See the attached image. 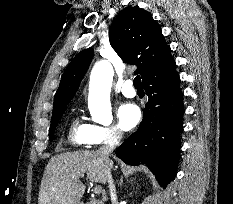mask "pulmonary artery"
I'll return each instance as SVG.
<instances>
[{
    "instance_id": "e3ab8cb5",
    "label": "pulmonary artery",
    "mask_w": 233,
    "mask_h": 204,
    "mask_svg": "<svg viewBox=\"0 0 233 204\" xmlns=\"http://www.w3.org/2000/svg\"><path fill=\"white\" fill-rule=\"evenodd\" d=\"M121 92L125 97L128 98H133L136 96V91L133 88V83L131 80H126L122 87H121Z\"/></svg>"
}]
</instances>
